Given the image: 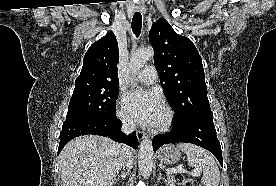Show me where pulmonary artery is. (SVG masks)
<instances>
[{
	"label": "pulmonary artery",
	"mask_w": 276,
	"mask_h": 186,
	"mask_svg": "<svg viewBox=\"0 0 276 186\" xmlns=\"http://www.w3.org/2000/svg\"><path fill=\"white\" fill-rule=\"evenodd\" d=\"M158 77L156 69L152 66L145 67L136 75V80L144 84L155 83Z\"/></svg>",
	"instance_id": "pulmonary-artery-1"
}]
</instances>
